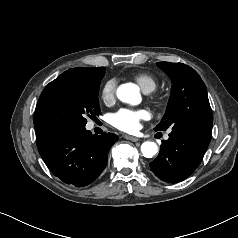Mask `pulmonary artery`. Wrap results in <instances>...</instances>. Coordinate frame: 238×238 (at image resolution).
I'll use <instances>...</instances> for the list:
<instances>
[{
    "label": "pulmonary artery",
    "mask_w": 238,
    "mask_h": 238,
    "mask_svg": "<svg viewBox=\"0 0 238 238\" xmlns=\"http://www.w3.org/2000/svg\"><path fill=\"white\" fill-rule=\"evenodd\" d=\"M165 138H166V139H168V138H169V135H168V134H166V135H165Z\"/></svg>",
    "instance_id": "pulmonary-artery-1"
}]
</instances>
